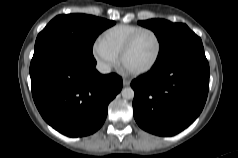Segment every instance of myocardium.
I'll use <instances>...</instances> for the list:
<instances>
[{"label": "myocardium", "instance_id": "f54148a6", "mask_svg": "<svg viewBox=\"0 0 238 158\" xmlns=\"http://www.w3.org/2000/svg\"><path fill=\"white\" fill-rule=\"evenodd\" d=\"M144 33H150L153 35V37L156 40L157 43V51L155 54V57L153 58V60L145 67L141 68V69H137V70H131L129 68L126 67L125 65V57L127 56V54L130 52V50L133 48L134 44L136 43L137 39ZM162 53V42L161 39L159 37V35L152 29L149 28H143L140 29L139 31L135 32L127 41V43L125 44V46L123 47L121 53H120V60H121V64L124 67V69L126 71H128L131 74H135V75H139V74H144L149 72L150 70H152L155 65L157 64L158 60L160 59Z\"/></svg>", "mask_w": 238, "mask_h": 158}]
</instances>
